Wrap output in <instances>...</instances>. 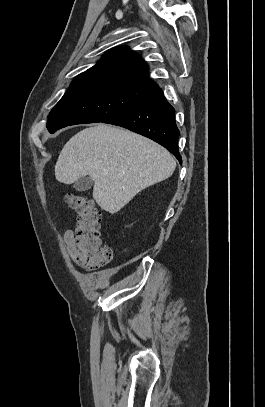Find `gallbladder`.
<instances>
[{
    "instance_id": "bac80fb5",
    "label": "gallbladder",
    "mask_w": 265,
    "mask_h": 407,
    "mask_svg": "<svg viewBox=\"0 0 265 407\" xmlns=\"http://www.w3.org/2000/svg\"><path fill=\"white\" fill-rule=\"evenodd\" d=\"M92 185L93 181L90 177H82L75 182L74 188L78 192H84L89 190L92 187Z\"/></svg>"
}]
</instances>
